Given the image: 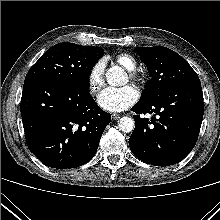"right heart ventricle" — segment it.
<instances>
[{"label":"right heart ventricle","instance_id":"1","mask_svg":"<svg viewBox=\"0 0 220 220\" xmlns=\"http://www.w3.org/2000/svg\"><path fill=\"white\" fill-rule=\"evenodd\" d=\"M115 61L128 71L135 69L137 65L136 59L126 53L118 54L115 57Z\"/></svg>","mask_w":220,"mask_h":220}]
</instances>
